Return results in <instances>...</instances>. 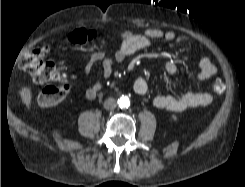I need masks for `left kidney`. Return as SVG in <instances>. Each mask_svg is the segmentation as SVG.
Returning a JSON list of instances; mask_svg holds the SVG:
<instances>
[{"label":"left kidney","mask_w":245,"mask_h":187,"mask_svg":"<svg viewBox=\"0 0 245 187\" xmlns=\"http://www.w3.org/2000/svg\"><path fill=\"white\" fill-rule=\"evenodd\" d=\"M173 120H177V117L175 115H172Z\"/></svg>","instance_id":"5707ae66"}]
</instances>
